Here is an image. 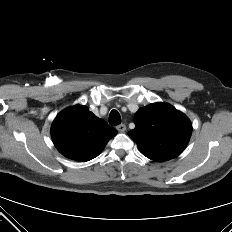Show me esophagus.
<instances>
[{
  "mask_svg": "<svg viewBox=\"0 0 232 232\" xmlns=\"http://www.w3.org/2000/svg\"><path fill=\"white\" fill-rule=\"evenodd\" d=\"M116 129L119 132H124V131H126V125L125 124H120V125L116 126Z\"/></svg>",
  "mask_w": 232,
  "mask_h": 232,
  "instance_id": "34e87169",
  "label": "esophagus"
}]
</instances>
